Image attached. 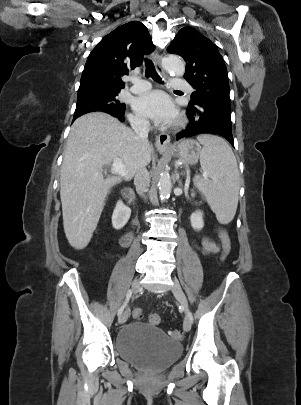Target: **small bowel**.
<instances>
[{"label":"small bowel","mask_w":301,"mask_h":405,"mask_svg":"<svg viewBox=\"0 0 301 405\" xmlns=\"http://www.w3.org/2000/svg\"><path fill=\"white\" fill-rule=\"evenodd\" d=\"M199 248L205 255L214 254L219 251V246L206 236L201 238Z\"/></svg>","instance_id":"1"}]
</instances>
